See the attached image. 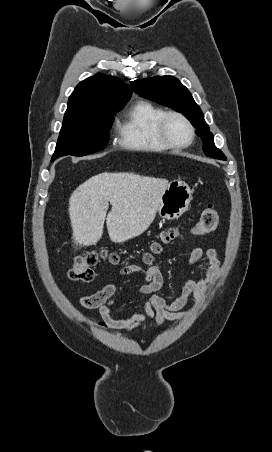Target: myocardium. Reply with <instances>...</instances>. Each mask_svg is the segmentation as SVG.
Wrapping results in <instances>:
<instances>
[{
  "instance_id": "1",
  "label": "myocardium",
  "mask_w": 272,
  "mask_h": 452,
  "mask_svg": "<svg viewBox=\"0 0 272 452\" xmlns=\"http://www.w3.org/2000/svg\"><path fill=\"white\" fill-rule=\"evenodd\" d=\"M172 117L180 119L187 127L189 132V139L184 143H177L172 140L167 130L168 120ZM158 133L162 141L170 148H185L189 146L195 138V128L191 121L181 112L178 111H166L160 118L158 123Z\"/></svg>"
}]
</instances>
